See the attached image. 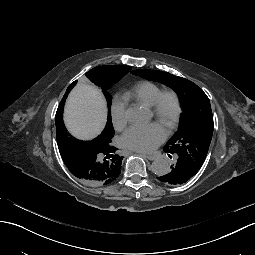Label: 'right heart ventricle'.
I'll return each mask as SVG.
<instances>
[{
	"mask_svg": "<svg viewBox=\"0 0 255 255\" xmlns=\"http://www.w3.org/2000/svg\"><path fill=\"white\" fill-rule=\"evenodd\" d=\"M161 91L162 88L158 84L151 81H143L128 91L123 98L126 102L136 101L150 107Z\"/></svg>",
	"mask_w": 255,
	"mask_h": 255,
	"instance_id": "obj_1",
	"label": "right heart ventricle"
}]
</instances>
